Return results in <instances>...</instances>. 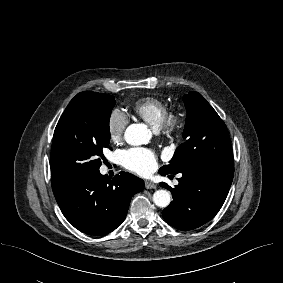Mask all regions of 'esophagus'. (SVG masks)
Instances as JSON below:
<instances>
[{
    "label": "esophagus",
    "mask_w": 283,
    "mask_h": 283,
    "mask_svg": "<svg viewBox=\"0 0 283 283\" xmlns=\"http://www.w3.org/2000/svg\"><path fill=\"white\" fill-rule=\"evenodd\" d=\"M145 188L146 189H156L157 188V185L150 182V181H145Z\"/></svg>",
    "instance_id": "obj_1"
}]
</instances>
